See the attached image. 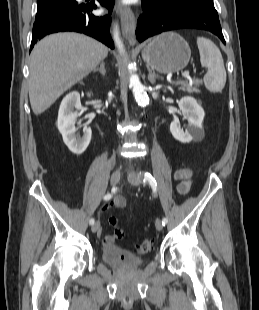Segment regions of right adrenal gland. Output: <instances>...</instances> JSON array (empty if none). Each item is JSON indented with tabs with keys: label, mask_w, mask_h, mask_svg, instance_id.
<instances>
[{
	"label": "right adrenal gland",
	"mask_w": 259,
	"mask_h": 310,
	"mask_svg": "<svg viewBox=\"0 0 259 310\" xmlns=\"http://www.w3.org/2000/svg\"><path fill=\"white\" fill-rule=\"evenodd\" d=\"M97 71H99L102 74V76L106 75V69H105V63L104 62L100 63V67L99 68H95L93 70L94 73L97 72Z\"/></svg>",
	"instance_id": "right-adrenal-gland-1"
}]
</instances>
